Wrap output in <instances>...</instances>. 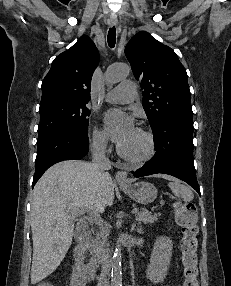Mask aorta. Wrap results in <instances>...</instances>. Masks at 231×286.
<instances>
[{"label": "aorta", "mask_w": 231, "mask_h": 286, "mask_svg": "<svg viewBox=\"0 0 231 286\" xmlns=\"http://www.w3.org/2000/svg\"><path fill=\"white\" fill-rule=\"evenodd\" d=\"M130 67L127 64H115L110 66L105 73L107 84H115L127 77ZM121 236L117 240V245L112 258L111 286H122V254H121Z\"/></svg>", "instance_id": "762f6f07"}]
</instances>
